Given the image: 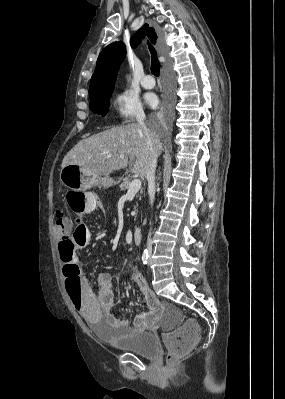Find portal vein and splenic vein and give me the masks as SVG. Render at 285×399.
I'll use <instances>...</instances> for the list:
<instances>
[{
    "label": "portal vein and splenic vein",
    "instance_id": "1",
    "mask_svg": "<svg viewBox=\"0 0 285 399\" xmlns=\"http://www.w3.org/2000/svg\"><path fill=\"white\" fill-rule=\"evenodd\" d=\"M120 157L123 158L124 155L122 154ZM141 185H142V183H141L140 179H137V178L133 179L132 182L129 185V189H128L127 193L131 194V193L138 192L140 190V188H141Z\"/></svg>",
    "mask_w": 285,
    "mask_h": 399
}]
</instances>
